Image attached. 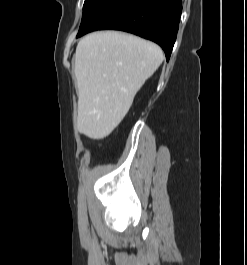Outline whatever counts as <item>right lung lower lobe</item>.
I'll return each instance as SVG.
<instances>
[{
    "mask_svg": "<svg viewBox=\"0 0 247 265\" xmlns=\"http://www.w3.org/2000/svg\"><path fill=\"white\" fill-rule=\"evenodd\" d=\"M182 11L181 0H100L82 20L77 37L114 29L159 44L170 58Z\"/></svg>",
    "mask_w": 247,
    "mask_h": 265,
    "instance_id": "98d812e1",
    "label": "right lung lower lobe"
}]
</instances>
